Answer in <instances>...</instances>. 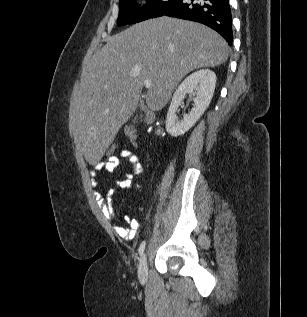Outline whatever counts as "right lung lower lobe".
I'll return each instance as SVG.
<instances>
[{
    "instance_id": "1",
    "label": "right lung lower lobe",
    "mask_w": 307,
    "mask_h": 317,
    "mask_svg": "<svg viewBox=\"0 0 307 317\" xmlns=\"http://www.w3.org/2000/svg\"><path fill=\"white\" fill-rule=\"evenodd\" d=\"M163 15L205 24L217 31L229 45L232 44V17L228 0H176Z\"/></svg>"
}]
</instances>
